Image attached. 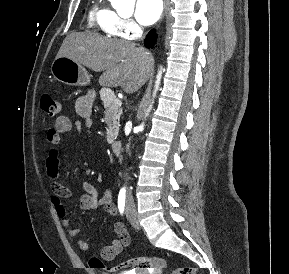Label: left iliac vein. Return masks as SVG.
<instances>
[{"label": "left iliac vein", "instance_id": "4c4485c4", "mask_svg": "<svg viewBox=\"0 0 289 274\" xmlns=\"http://www.w3.org/2000/svg\"><path fill=\"white\" fill-rule=\"evenodd\" d=\"M126 217L130 224L135 228V229H140L138 220H137V215L136 211L131 205L130 201L128 200L126 203Z\"/></svg>", "mask_w": 289, "mask_h": 274}]
</instances>
